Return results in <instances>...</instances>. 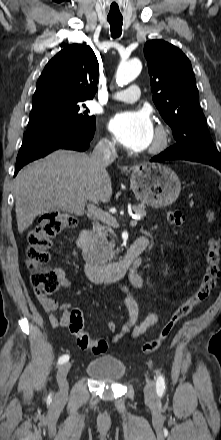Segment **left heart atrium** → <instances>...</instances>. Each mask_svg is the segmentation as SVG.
Instances as JSON below:
<instances>
[{"instance_id":"obj_1","label":"left heart atrium","mask_w":221,"mask_h":440,"mask_svg":"<svg viewBox=\"0 0 221 440\" xmlns=\"http://www.w3.org/2000/svg\"><path fill=\"white\" fill-rule=\"evenodd\" d=\"M108 127L122 145L136 151L146 149L154 133L152 121L143 110L118 113Z\"/></svg>"}]
</instances>
